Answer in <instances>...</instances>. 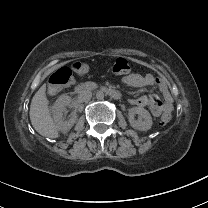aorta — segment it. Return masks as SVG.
<instances>
[{
    "mask_svg": "<svg viewBox=\"0 0 208 208\" xmlns=\"http://www.w3.org/2000/svg\"><path fill=\"white\" fill-rule=\"evenodd\" d=\"M96 98H97V99H103V98H104V93H103L102 91H98V92L96 93Z\"/></svg>",
    "mask_w": 208,
    "mask_h": 208,
    "instance_id": "1",
    "label": "aorta"
}]
</instances>
